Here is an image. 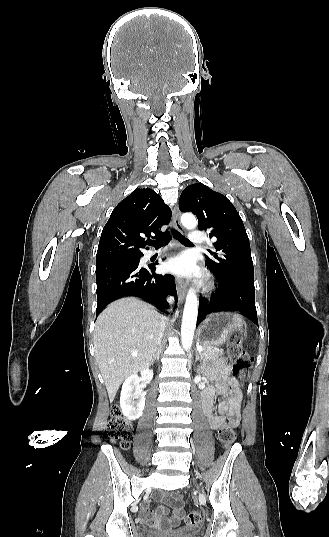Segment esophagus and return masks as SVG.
<instances>
[{"instance_id":"obj_1","label":"esophagus","mask_w":329,"mask_h":537,"mask_svg":"<svg viewBox=\"0 0 329 537\" xmlns=\"http://www.w3.org/2000/svg\"><path fill=\"white\" fill-rule=\"evenodd\" d=\"M180 210L178 208V206H175L174 208V216H173V223H174V226L175 228L179 231V232H183L184 229H183V226L180 222ZM177 285H178V292H179V296L181 299H184L185 295H186V291H187V286H186V283L183 281V280H180L178 279L177 280Z\"/></svg>"}]
</instances>
